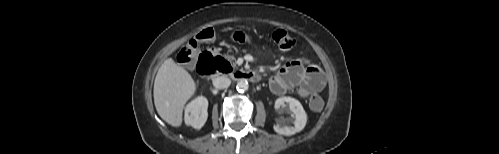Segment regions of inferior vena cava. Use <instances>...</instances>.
Here are the masks:
<instances>
[{
	"label": "inferior vena cava",
	"mask_w": 499,
	"mask_h": 154,
	"mask_svg": "<svg viewBox=\"0 0 499 154\" xmlns=\"http://www.w3.org/2000/svg\"><path fill=\"white\" fill-rule=\"evenodd\" d=\"M230 84L231 80L226 76H221L213 80V85L219 89L228 88Z\"/></svg>",
	"instance_id": "inferior-vena-cava-1"
}]
</instances>
